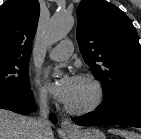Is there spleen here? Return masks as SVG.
I'll return each mask as SVG.
<instances>
[{
    "label": "spleen",
    "mask_w": 141,
    "mask_h": 139,
    "mask_svg": "<svg viewBox=\"0 0 141 139\" xmlns=\"http://www.w3.org/2000/svg\"><path fill=\"white\" fill-rule=\"evenodd\" d=\"M111 133L120 135L124 139H141V135L137 134L135 132H129V131H124V130H110Z\"/></svg>",
    "instance_id": "obj_1"
}]
</instances>
